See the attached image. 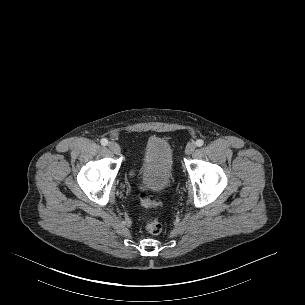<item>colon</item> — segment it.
<instances>
[{
  "mask_svg": "<svg viewBox=\"0 0 305 305\" xmlns=\"http://www.w3.org/2000/svg\"><path fill=\"white\" fill-rule=\"evenodd\" d=\"M139 197L142 205L145 207L158 206V202L151 200L149 192L145 189L140 191ZM146 230L153 235L159 234L162 230L161 222L155 217L148 218L146 220Z\"/></svg>",
  "mask_w": 305,
  "mask_h": 305,
  "instance_id": "1",
  "label": "colon"
}]
</instances>
